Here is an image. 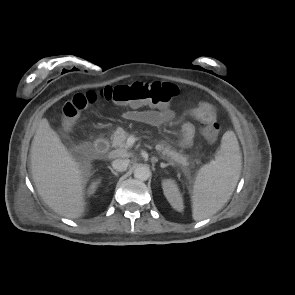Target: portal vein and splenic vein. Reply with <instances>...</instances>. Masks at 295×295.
I'll use <instances>...</instances> for the list:
<instances>
[{
    "label": "portal vein and splenic vein",
    "mask_w": 295,
    "mask_h": 295,
    "mask_svg": "<svg viewBox=\"0 0 295 295\" xmlns=\"http://www.w3.org/2000/svg\"><path fill=\"white\" fill-rule=\"evenodd\" d=\"M133 143H134V138L133 137H129L128 140H127V145L128 146H131V145H133Z\"/></svg>",
    "instance_id": "1"
}]
</instances>
